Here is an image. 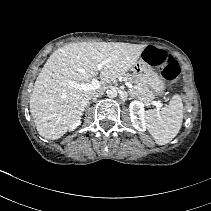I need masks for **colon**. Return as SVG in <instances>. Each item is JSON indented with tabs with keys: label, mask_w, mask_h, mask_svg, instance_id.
<instances>
[{
	"label": "colon",
	"mask_w": 211,
	"mask_h": 211,
	"mask_svg": "<svg viewBox=\"0 0 211 211\" xmlns=\"http://www.w3.org/2000/svg\"><path fill=\"white\" fill-rule=\"evenodd\" d=\"M144 58L151 66L160 69L166 80L176 81L180 73V67L171 54L162 49L149 47L144 52Z\"/></svg>",
	"instance_id": "1"
}]
</instances>
